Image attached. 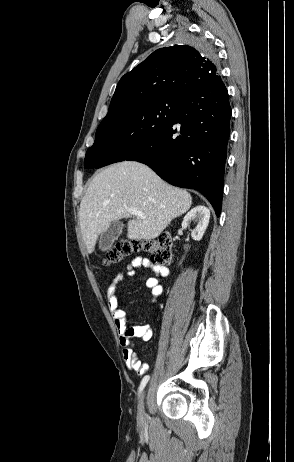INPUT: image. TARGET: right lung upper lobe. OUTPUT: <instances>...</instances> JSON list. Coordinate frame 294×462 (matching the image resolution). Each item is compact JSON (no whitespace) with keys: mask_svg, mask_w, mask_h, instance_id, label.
Instances as JSON below:
<instances>
[{"mask_svg":"<svg viewBox=\"0 0 294 462\" xmlns=\"http://www.w3.org/2000/svg\"><path fill=\"white\" fill-rule=\"evenodd\" d=\"M220 78L214 53L187 45L156 50L119 81L108 114L165 95L184 97Z\"/></svg>","mask_w":294,"mask_h":462,"instance_id":"1","label":"right lung upper lobe"}]
</instances>
